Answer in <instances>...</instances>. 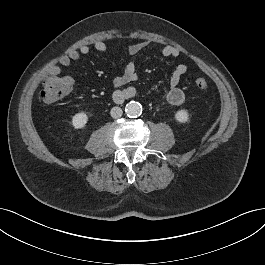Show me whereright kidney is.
<instances>
[{
    "label": "right kidney",
    "mask_w": 265,
    "mask_h": 265,
    "mask_svg": "<svg viewBox=\"0 0 265 265\" xmlns=\"http://www.w3.org/2000/svg\"><path fill=\"white\" fill-rule=\"evenodd\" d=\"M88 121V116L86 113H77L72 117V125L75 129L84 128Z\"/></svg>",
    "instance_id": "right-kidney-1"
}]
</instances>
